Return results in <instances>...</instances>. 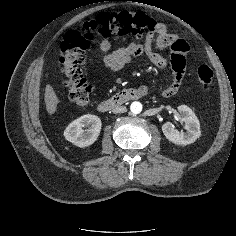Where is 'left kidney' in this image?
<instances>
[{
    "instance_id": "1",
    "label": "left kidney",
    "mask_w": 236,
    "mask_h": 236,
    "mask_svg": "<svg viewBox=\"0 0 236 236\" xmlns=\"http://www.w3.org/2000/svg\"><path fill=\"white\" fill-rule=\"evenodd\" d=\"M181 121L185 123L187 132L177 130L171 122L162 125L165 137L177 145H188L194 143L201 135L200 123L195 113L186 105L178 106Z\"/></svg>"
}]
</instances>
